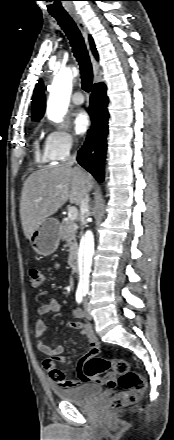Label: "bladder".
Listing matches in <instances>:
<instances>
[{
  "label": "bladder",
  "instance_id": "bladder-1",
  "mask_svg": "<svg viewBox=\"0 0 174 440\" xmlns=\"http://www.w3.org/2000/svg\"><path fill=\"white\" fill-rule=\"evenodd\" d=\"M101 391V387L95 384H82L72 388L54 389V393L60 400L78 404L89 403L93 398L100 395Z\"/></svg>",
  "mask_w": 174,
  "mask_h": 440
}]
</instances>
